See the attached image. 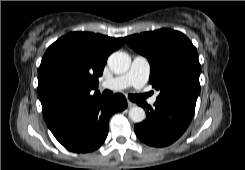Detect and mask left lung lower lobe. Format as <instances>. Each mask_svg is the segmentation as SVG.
Here are the masks:
<instances>
[{
    "label": "left lung lower lobe",
    "mask_w": 245,
    "mask_h": 170,
    "mask_svg": "<svg viewBox=\"0 0 245 170\" xmlns=\"http://www.w3.org/2000/svg\"><path fill=\"white\" fill-rule=\"evenodd\" d=\"M146 109V119L134 126L137 137L144 143L164 147L177 140L187 129L194 115V109L156 101L152 108L147 103H139Z\"/></svg>",
    "instance_id": "1"
}]
</instances>
